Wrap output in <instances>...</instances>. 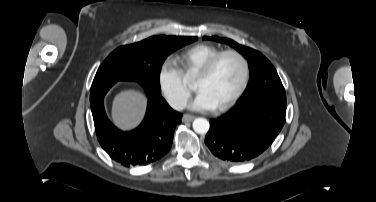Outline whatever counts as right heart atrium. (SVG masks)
Masks as SVG:
<instances>
[{"label": "right heart atrium", "instance_id": "right-heart-atrium-1", "mask_svg": "<svg viewBox=\"0 0 376 202\" xmlns=\"http://www.w3.org/2000/svg\"><path fill=\"white\" fill-rule=\"evenodd\" d=\"M157 81L161 94L170 106L181 109L186 105L190 96L187 81L170 59L164 60L160 65Z\"/></svg>", "mask_w": 376, "mask_h": 202}]
</instances>
